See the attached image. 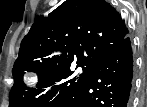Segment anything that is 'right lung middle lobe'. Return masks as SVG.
Masks as SVG:
<instances>
[{
	"label": "right lung middle lobe",
	"instance_id": "right-lung-middle-lobe-1",
	"mask_svg": "<svg viewBox=\"0 0 147 107\" xmlns=\"http://www.w3.org/2000/svg\"><path fill=\"white\" fill-rule=\"evenodd\" d=\"M31 66L13 71L14 85L10 92V107H56L64 98L82 86L95 69L92 66L77 65L76 69L81 67L82 71L74 74L70 70V66L52 70H32ZM24 71L37 73L39 79L37 87H48L49 89L36 97L44 89L32 92V89L25 87L23 83Z\"/></svg>",
	"mask_w": 147,
	"mask_h": 107
}]
</instances>
